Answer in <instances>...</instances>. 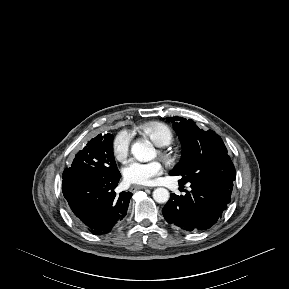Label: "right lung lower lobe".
Wrapping results in <instances>:
<instances>
[{
  "label": "right lung lower lobe",
  "mask_w": 289,
  "mask_h": 289,
  "mask_svg": "<svg viewBox=\"0 0 289 289\" xmlns=\"http://www.w3.org/2000/svg\"><path fill=\"white\" fill-rule=\"evenodd\" d=\"M119 170L105 176L63 172L62 191L76 222L95 235L109 233L127 213L131 192L115 193Z\"/></svg>",
  "instance_id": "right-lung-lower-lobe-1"
}]
</instances>
